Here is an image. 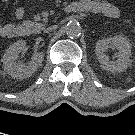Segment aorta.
<instances>
[{
  "mask_svg": "<svg viewBox=\"0 0 135 135\" xmlns=\"http://www.w3.org/2000/svg\"><path fill=\"white\" fill-rule=\"evenodd\" d=\"M65 31L69 37H78L81 34V26L77 21H70L65 26Z\"/></svg>",
  "mask_w": 135,
  "mask_h": 135,
  "instance_id": "762f6f07",
  "label": "aorta"
}]
</instances>
